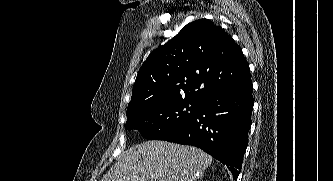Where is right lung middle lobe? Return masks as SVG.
Wrapping results in <instances>:
<instances>
[{"mask_svg": "<svg viewBox=\"0 0 333 181\" xmlns=\"http://www.w3.org/2000/svg\"><path fill=\"white\" fill-rule=\"evenodd\" d=\"M200 102L182 98L148 103L127 112L125 129H136L148 140H167L189 123Z\"/></svg>", "mask_w": 333, "mask_h": 181, "instance_id": "1", "label": "right lung middle lobe"}]
</instances>
